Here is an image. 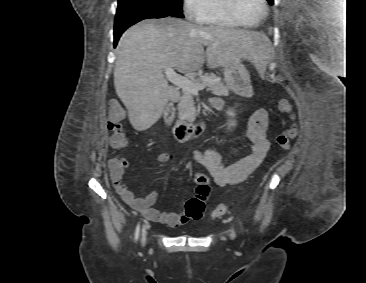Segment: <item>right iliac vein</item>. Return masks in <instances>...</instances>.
<instances>
[{
  "label": "right iliac vein",
  "mask_w": 366,
  "mask_h": 283,
  "mask_svg": "<svg viewBox=\"0 0 366 283\" xmlns=\"http://www.w3.org/2000/svg\"><path fill=\"white\" fill-rule=\"evenodd\" d=\"M147 227H148L147 224H145L142 229V243L143 244H145V242H146Z\"/></svg>",
  "instance_id": "1"
}]
</instances>
